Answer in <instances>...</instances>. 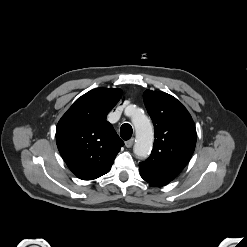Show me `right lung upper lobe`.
Wrapping results in <instances>:
<instances>
[{
  "label": "right lung upper lobe",
  "instance_id": "right-lung-upper-lobe-1",
  "mask_svg": "<svg viewBox=\"0 0 247 247\" xmlns=\"http://www.w3.org/2000/svg\"><path fill=\"white\" fill-rule=\"evenodd\" d=\"M121 93L120 89H93L78 98L57 124L58 150L69 169L82 180L108 173L124 145L106 121Z\"/></svg>",
  "mask_w": 247,
  "mask_h": 247
}]
</instances>
